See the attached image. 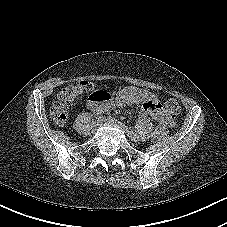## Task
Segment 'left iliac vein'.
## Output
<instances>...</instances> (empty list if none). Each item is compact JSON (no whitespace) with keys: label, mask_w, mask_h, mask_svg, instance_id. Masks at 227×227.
Segmentation results:
<instances>
[{"label":"left iliac vein","mask_w":227,"mask_h":227,"mask_svg":"<svg viewBox=\"0 0 227 227\" xmlns=\"http://www.w3.org/2000/svg\"><path fill=\"white\" fill-rule=\"evenodd\" d=\"M110 121L113 122L114 120L111 119ZM119 125L124 130V132L128 138H130L131 140L136 139V137H133V133L131 131H129L128 128L124 124L119 122Z\"/></svg>","instance_id":"1"}]
</instances>
